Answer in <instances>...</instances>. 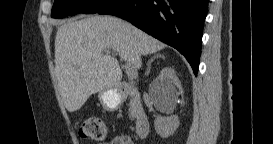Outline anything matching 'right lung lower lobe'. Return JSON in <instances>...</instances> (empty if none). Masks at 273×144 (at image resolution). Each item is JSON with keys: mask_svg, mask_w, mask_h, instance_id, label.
I'll list each match as a JSON object with an SVG mask.
<instances>
[{"mask_svg": "<svg viewBox=\"0 0 273 144\" xmlns=\"http://www.w3.org/2000/svg\"><path fill=\"white\" fill-rule=\"evenodd\" d=\"M209 0H110L96 13L123 18L181 52L198 72Z\"/></svg>", "mask_w": 273, "mask_h": 144, "instance_id": "right-lung-lower-lobe-1", "label": "right lung lower lobe"}]
</instances>
